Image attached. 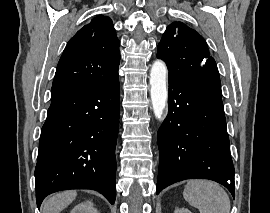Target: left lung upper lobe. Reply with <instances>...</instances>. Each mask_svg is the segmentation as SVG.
Here are the masks:
<instances>
[{
	"mask_svg": "<svg viewBox=\"0 0 270 213\" xmlns=\"http://www.w3.org/2000/svg\"><path fill=\"white\" fill-rule=\"evenodd\" d=\"M157 57L168 67L169 80H195L221 91L219 72L203 37L181 22L166 28Z\"/></svg>",
	"mask_w": 270,
	"mask_h": 213,
	"instance_id": "obj_1",
	"label": "left lung upper lobe"
}]
</instances>
